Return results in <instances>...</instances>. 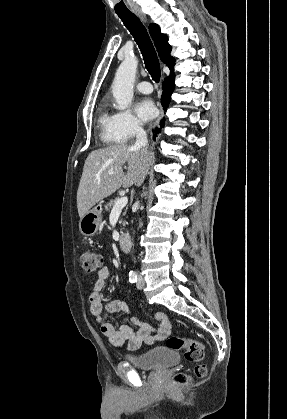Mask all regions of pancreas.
<instances>
[{"label":"pancreas","mask_w":287,"mask_h":419,"mask_svg":"<svg viewBox=\"0 0 287 419\" xmlns=\"http://www.w3.org/2000/svg\"><path fill=\"white\" fill-rule=\"evenodd\" d=\"M117 199L118 198L111 199L110 202L105 205V209L106 210H109V209L113 208V206H114L115 202L117 201ZM125 214H126V211L123 213V215H125Z\"/></svg>","instance_id":"1"}]
</instances>
